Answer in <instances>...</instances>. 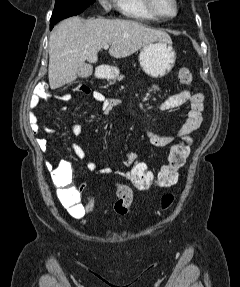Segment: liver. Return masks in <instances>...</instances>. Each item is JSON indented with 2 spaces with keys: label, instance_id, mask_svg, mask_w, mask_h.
Instances as JSON below:
<instances>
[{
  "label": "liver",
  "instance_id": "liver-1",
  "mask_svg": "<svg viewBox=\"0 0 240 287\" xmlns=\"http://www.w3.org/2000/svg\"><path fill=\"white\" fill-rule=\"evenodd\" d=\"M155 41L171 42V38L165 31L133 20L65 19L49 38L50 88L57 89L75 81L85 61L97 62V54L105 44L111 46L109 54L112 57L124 58Z\"/></svg>",
  "mask_w": 240,
  "mask_h": 287
}]
</instances>
